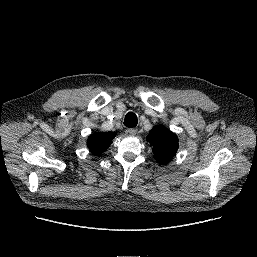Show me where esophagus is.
Listing matches in <instances>:
<instances>
[{
  "label": "esophagus",
  "mask_w": 257,
  "mask_h": 257,
  "mask_svg": "<svg viewBox=\"0 0 257 257\" xmlns=\"http://www.w3.org/2000/svg\"><path fill=\"white\" fill-rule=\"evenodd\" d=\"M127 132L130 135H136L137 134V129L136 128H129V129H127Z\"/></svg>",
  "instance_id": "esophagus-1"
}]
</instances>
